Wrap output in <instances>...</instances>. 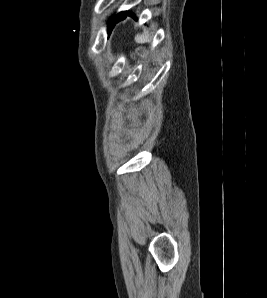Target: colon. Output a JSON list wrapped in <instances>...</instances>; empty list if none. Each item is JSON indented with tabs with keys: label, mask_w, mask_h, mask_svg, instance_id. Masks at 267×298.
Returning a JSON list of instances; mask_svg holds the SVG:
<instances>
[{
	"label": "colon",
	"mask_w": 267,
	"mask_h": 298,
	"mask_svg": "<svg viewBox=\"0 0 267 298\" xmlns=\"http://www.w3.org/2000/svg\"><path fill=\"white\" fill-rule=\"evenodd\" d=\"M140 52H141L140 50L137 51V53H140Z\"/></svg>",
	"instance_id": "5ec220e1"
}]
</instances>
